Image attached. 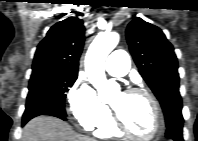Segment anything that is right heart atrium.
I'll use <instances>...</instances> for the list:
<instances>
[{
	"instance_id": "right-heart-atrium-1",
	"label": "right heart atrium",
	"mask_w": 198,
	"mask_h": 141,
	"mask_svg": "<svg viewBox=\"0 0 198 141\" xmlns=\"http://www.w3.org/2000/svg\"><path fill=\"white\" fill-rule=\"evenodd\" d=\"M67 111L80 127L91 130L108 119V107L97 97L94 89L79 78L67 93Z\"/></svg>"
}]
</instances>
